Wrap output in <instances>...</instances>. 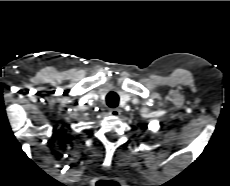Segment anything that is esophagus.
Here are the masks:
<instances>
[{
    "label": "esophagus",
    "mask_w": 230,
    "mask_h": 186,
    "mask_svg": "<svg viewBox=\"0 0 230 186\" xmlns=\"http://www.w3.org/2000/svg\"><path fill=\"white\" fill-rule=\"evenodd\" d=\"M109 113H110V115H112L114 117H118V116H120L121 111L118 108H111L109 110Z\"/></svg>",
    "instance_id": "1"
}]
</instances>
